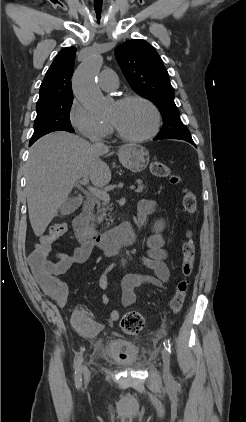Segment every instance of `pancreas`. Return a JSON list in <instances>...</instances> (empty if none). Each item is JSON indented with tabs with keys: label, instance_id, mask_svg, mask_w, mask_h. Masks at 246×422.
Masks as SVG:
<instances>
[{
	"label": "pancreas",
	"instance_id": "obj_1",
	"mask_svg": "<svg viewBox=\"0 0 246 422\" xmlns=\"http://www.w3.org/2000/svg\"><path fill=\"white\" fill-rule=\"evenodd\" d=\"M138 183V189L137 192H141L144 189V185L142 184L141 180H137ZM111 210V205L109 204L108 201H103L101 204L98 203L97 205V211L96 214L94 216V221L97 223H101L104 220L105 221H111V216L110 213H108V211Z\"/></svg>",
	"mask_w": 246,
	"mask_h": 422
}]
</instances>
